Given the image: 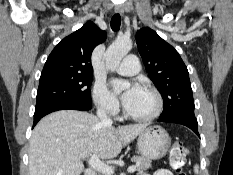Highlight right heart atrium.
I'll return each instance as SVG.
<instances>
[{"mask_svg": "<svg viewBox=\"0 0 233 175\" xmlns=\"http://www.w3.org/2000/svg\"><path fill=\"white\" fill-rule=\"evenodd\" d=\"M92 98L96 107L108 115H116L120 104L117 97L102 81H96L92 88Z\"/></svg>", "mask_w": 233, "mask_h": 175, "instance_id": "1", "label": "right heart atrium"}]
</instances>
